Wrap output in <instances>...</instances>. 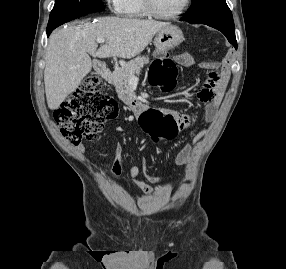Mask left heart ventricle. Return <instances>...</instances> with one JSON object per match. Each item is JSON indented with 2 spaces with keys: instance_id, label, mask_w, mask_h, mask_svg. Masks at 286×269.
Returning <instances> with one entry per match:
<instances>
[{
  "instance_id": "1",
  "label": "left heart ventricle",
  "mask_w": 286,
  "mask_h": 269,
  "mask_svg": "<svg viewBox=\"0 0 286 269\" xmlns=\"http://www.w3.org/2000/svg\"><path fill=\"white\" fill-rule=\"evenodd\" d=\"M155 9L162 14H170L181 8L185 0H152Z\"/></svg>"
}]
</instances>
